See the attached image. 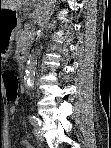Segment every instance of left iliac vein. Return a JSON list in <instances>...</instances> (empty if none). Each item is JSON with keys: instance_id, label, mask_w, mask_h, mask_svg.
<instances>
[{"instance_id": "left-iliac-vein-1", "label": "left iliac vein", "mask_w": 111, "mask_h": 148, "mask_svg": "<svg viewBox=\"0 0 111 148\" xmlns=\"http://www.w3.org/2000/svg\"><path fill=\"white\" fill-rule=\"evenodd\" d=\"M34 132H35V135H36L38 140H40V141L44 140V138L42 136V132H41L40 127L38 125L35 126V131Z\"/></svg>"}]
</instances>
